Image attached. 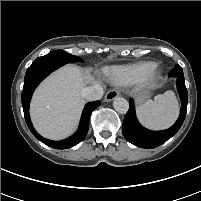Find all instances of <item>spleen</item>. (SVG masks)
I'll list each match as a JSON object with an SVG mask.
<instances>
[{"label": "spleen", "mask_w": 201, "mask_h": 201, "mask_svg": "<svg viewBox=\"0 0 201 201\" xmlns=\"http://www.w3.org/2000/svg\"><path fill=\"white\" fill-rule=\"evenodd\" d=\"M179 114L178 100L173 91H166L137 107L140 122L154 130L170 127Z\"/></svg>", "instance_id": "obj_1"}]
</instances>
